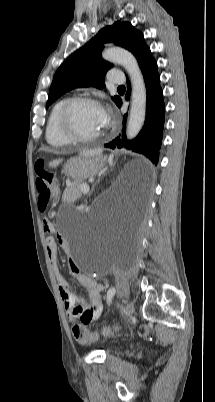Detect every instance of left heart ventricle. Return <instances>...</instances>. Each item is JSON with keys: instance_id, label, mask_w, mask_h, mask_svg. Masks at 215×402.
Here are the masks:
<instances>
[{"instance_id": "obj_1", "label": "left heart ventricle", "mask_w": 215, "mask_h": 402, "mask_svg": "<svg viewBox=\"0 0 215 402\" xmlns=\"http://www.w3.org/2000/svg\"><path fill=\"white\" fill-rule=\"evenodd\" d=\"M104 111L93 104L82 103L75 106L70 115L71 126L82 136H92L105 128Z\"/></svg>"}]
</instances>
